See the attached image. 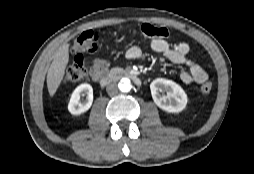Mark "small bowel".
Returning <instances> with one entry per match:
<instances>
[{"instance_id": "c3829d8e", "label": "small bowel", "mask_w": 254, "mask_h": 174, "mask_svg": "<svg viewBox=\"0 0 254 174\" xmlns=\"http://www.w3.org/2000/svg\"><path fill=\"white\" fill-rule=\"evenodd\" d=\"M150 46L155 52L169 62L187 67L188 70L180 74V79L183 83L190 84L195 82L202 84L208 80L206 71L188 57L190 47L187 43L180 42L177 44H170L163 39H153L150 42ZM142 55L143 51L138 46L130 47L125 53L127 59H139ZM108 67L109 63L104 59L93 60L90 68L92 79L97 80L101 75L107 72Z\"/></svg>"}]
</instances>
